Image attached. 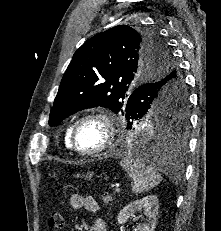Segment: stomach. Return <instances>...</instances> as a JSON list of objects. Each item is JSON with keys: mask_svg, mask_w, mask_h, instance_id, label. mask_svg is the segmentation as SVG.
<instances>
[{"mask_svg": "<svg viewBox=\"0 0 221 231\" xmlns=\"http://www.w3.org/2000/svg\"><path fill=\"white\" fill-rule=\"evenodd\" d=\"M146 131H143V132H139L140 133H145ZM93 176V172H88L87 175L85 176L86 178H92Z\"/></svg>", "mask_w": 221, "mask_h": 231, "instance_id": "stomach-1", "label": "stomach"}]
</instances>
